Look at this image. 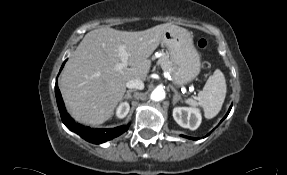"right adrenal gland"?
<instances>
[{"label": "right adrenal gland", "mask_w": 287, "mask_h": 175, "mask_svg": "<svg viewBox=\"0 0 287 175\" xmlns=\"http://www.w3.org/2000/svg\"><path fill=\"white\" fill-rule=\"evenodd\" d=\"M134 91H135V90H127V92H126L124 98H125V99H130V98H131V93L134 92Z\"/></svg>", "instance_id": "obj_1"}]
</instances>
